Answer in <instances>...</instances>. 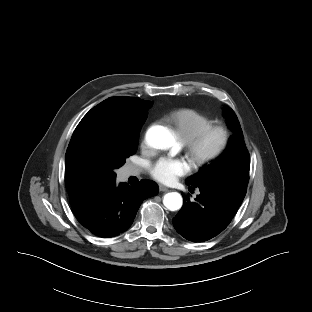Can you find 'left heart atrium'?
Masks as SVG:
<instances>
[{
	"label": "left heart atrium",
	"instance_id": "obj_1",
	"mask_svg": "<svg viewBox=\"0 0 312 312\" xmlns=\"http://www.w3.org/2000/svg\"><path fill=\"white\" fill-rule=\"evenodd\" d=\"M190 169L191 166L185 159L163 157L151 167L150 173L157 181L169 184L186 175Z\"/></svg>",
	"mask_w": 312,
	"mask_h": 312
}]
</instances>
